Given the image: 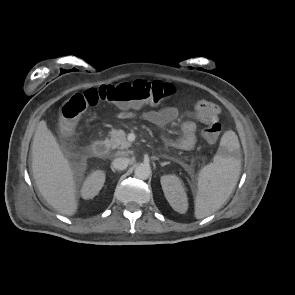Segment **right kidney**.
<instances>
[{
  "label": "right kidney",
  "mask_w": 295,
  "mask_h": 295,
  "mask_svg": "<svg viewBox=\"0 0 295 295\" xmlns=\"http://www.w3.org/2000/svg\"><path fill=\"white\" fill-rule=\"evenodd\" d=\"M105 182V173L101 170L92 172L84 181L81 189V195L84 199H91L95 197Z\"/></svg>",
  "instance_id": "obj_1"
}]
</instances>
